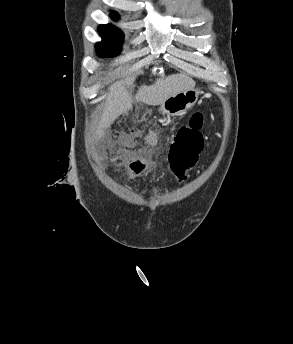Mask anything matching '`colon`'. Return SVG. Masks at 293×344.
<instances>
[{"label": "colon", "instance_id": "colon-1", "mask_svg": "<svg viewBox=\"0 0 293 344\" xmlns=\"http://www.w3.org/2000/svg\"><path fill=\"white\" fill-rule=\"evenodd\" d=\"M204 115L195 112L189 121L182 125L174 136L171 158L172 166L179 178H184V171L193 167L203 149V127ZM128 165L132 174L139 178L150 166V159L147 153H134L128 159Z\"/></svg>", "mask_w": 293, "mask_h": 344}]
</instances>
